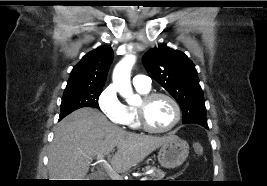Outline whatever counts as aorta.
Instances as JSON below:
<instances>
[{"mask_svg":"<svg viewBox=\"0 0 267 186\" xmlns=\"http://www.w3.org/2000/svg\"><path fill=\"white\" fill-rule=\"evenodd\" d=\"M135 63L134 55L125 56L115 67L113 71V83L121 96L129 101H134L138 97L133 94L130 82V73Z\"/></svg>","mask_w":267,"mask_h":186,"instance_id":"obj_1","label":"aorta"}]
</instances>
